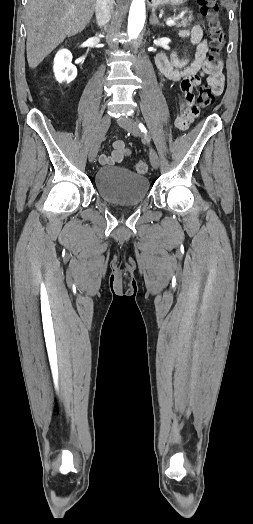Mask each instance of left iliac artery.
I'll list each match as a JSON object with an SVG mask.
<instances>
[{
    "mask_svg": "<svg viewBox=\"0 0 253 524\" xmlns=\"http://www.w3.org/2000/svg\"><path fill=\"white\" fill-rule=\"evenodd\" d=\"M139 128L141 129L142 132H144L145 134L147 133V130L146 128L144 127V125L142 123H139Z\"/></svg>",
    "mask_w": 253,
    "mask_h": 524,
    "instance_id": "obj_1",
    "label": "left iliac artery"
}]
</instances>
